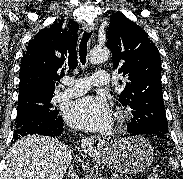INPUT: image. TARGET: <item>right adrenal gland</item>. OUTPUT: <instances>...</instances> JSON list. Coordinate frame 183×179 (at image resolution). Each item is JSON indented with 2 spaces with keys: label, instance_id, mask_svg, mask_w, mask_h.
Here are the masks:
<instances>
[{
  "label": "right adrenal gland",
  "instance_id": "2a0ac1e0",
  "mask_svg": "<svg viewBox=\"0 0 183 179\" xmlns=\"http://www.w3.org/2000/svg\"><path fill=\"white\" fill-rule=\"evenodd\" d=\"M68 176H69L71 179H78V176H77V174H76V171H75V168H74L73 165H70V167H69Z\"/></svg>",
  "mask_w": 183,
  "mask_h": 179
}]
</instances>
